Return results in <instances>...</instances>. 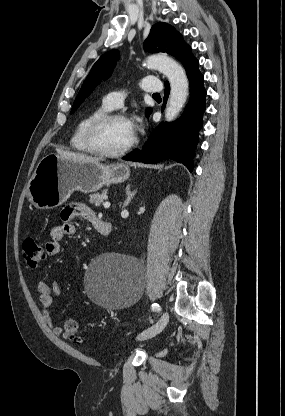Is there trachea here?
Returning <instances> with one entry per match:
<instances>
[{"instance_id":"1","label":"trachea","mask_w":285,"mask_h":416,"mask_svg":"<svg viewBox=\"0 0 285 416\" xmlns=\"http://www.w3.org/2000/svg\"><path fill=\"white\" fill-rule=\"evenodd\" d=\"M153 96H160L159 93H153Z\"/></svg>"}]
</instances>
